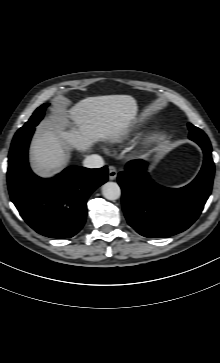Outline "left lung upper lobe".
<instances>
[{
  "label": "left lung upper lobe",
  "instance_id": "5c2ea615",
  "mask_svg": "<svg viewBox=\"0 0 220 363\" xmlns=\"http://www.w3.org/2000/svg\"><path fill=\"white\" fill-rule=\"evenodd\" d=\"M190 133H189V138H198V139H202V140H207L208 137L206 136V134L199 128L195 127L192 124H188Z\"/></svg>",
  "mask_w": 220,
  "mask_h": 363
}]
</instances>
